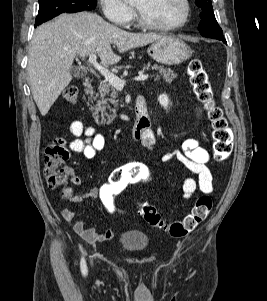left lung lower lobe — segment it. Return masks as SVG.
I'll list each match as a JSON object with an SVG mask.
<instances>
[{
	"mask_svg": "<svg viewBox=\"0 0 267 301\" xmlns=\"http://www.w3.org/2000/svg\"><path fill=\"white\" fill-rule=\"evenodd\" d=\"M218 40H221L223 43H226L225 38H220V39H218Z\"/></svg>",
	"mask_w": 267,
	"mask_h": 301,
	"instance_id": "left-lung-lower-lobe-1",
	"label": "left lung lower lobe"
}]
</instances>
